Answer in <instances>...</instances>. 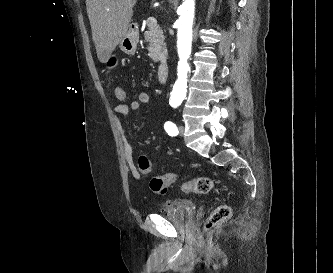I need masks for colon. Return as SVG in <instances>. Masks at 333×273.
<instances>
[{"label":"colon","instance_id":"obj_1","mask_svg":"<svg viewBox=\"0 0 333 273\" xmlns=\"http://www.w3.org/2000/svg\"><path fill=\"white\" fill-rule=\"evenodd\" d=\"M113 96L117 101H124L126 93L121 87H115ZM137 168L141 174L151 173V164L146 156H140L137 160ZM179 180L177 173H168L163 176H155L151 179L150 187L156 193H165L170 185ZM213 187V181L205 176L184 181L181 190L184 193L206 194ZM231 216V209L227 205L217 207L206 221V231L213 230L220 223L226 221Z\"/></svg>","mask_w":333,"mask_h":273}]
</instances>
